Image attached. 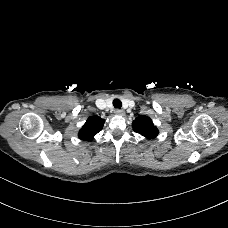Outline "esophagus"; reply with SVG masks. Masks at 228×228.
I'll return each instance as SVG.
<instances>
[{
	"label": "esophagus",
	"instance_id": "obj_1",
	"mask_svg": "<svg viewBox=\"0 0 228 228\" xmlns=\"http://www.w3.org/2000/svg\"><path fill=\"white\" fill-rule=\"evenodd\" d=\"M115 114H116V115L123 116V115L125 114V112H124V110H122V109H116V110H115Z\"/></svg>",
	"mask_w": 228,
	"mask_h": 228
}]
</instances>
